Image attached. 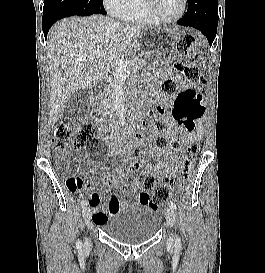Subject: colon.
Wrapping results in <instances>:
<instances>
[{
	"instance_id": "colon-1",
	"label": "colon",
	"mask_w": 265,
	"mask_h": 273,
	"mask_svg": "<svg viewBox=\"0 0 265 273\" xmlns=\"http://www.w3.org/2000/svg\"><path fill=\"white\" fill-rule=\"evenodd\" d=\"M178 54L188 56L193 61L199 58L200 48L194 35H184L176 45ZM175 69L185 75L192 81L205 84L206 79L200 73L196 66H183L176 64ZM163 92L168 96H176L175 102L171 109V114L176 122L184 127V152H187L182 162L179 164V173L183 181L188 180L191 175L195 155L202 147V137L199 136V128L196 123L202 118L206 109L207 95L204 91L196 90H180L177 82L173 78H167L162 84ZM167 111L166 107H150L138 126L136 134L137 143H143L145 135L150 130H159L162 128L161 116ZM98 134V127L92 122H83L77 125L69 123H59L55 126L52 134L54 147L59 155L66 156L75 147V145L92 141ZM156 150L162 151L167 146V140L162 135H157L154 140ZM172 148L178 149L180 142L174 140L171 143ZM135 161L131 165V169L140 170L141 163L139 161L140 152H134ZM68 190L73 194H80L84 189V181L80 177H70L66 181ZM143 189L153 191V198L150 199L152 206H157L165 202L170 196V188L165 184H158L157 181L150 176L144 178Z\"/></svg>"
}]
</instances>
